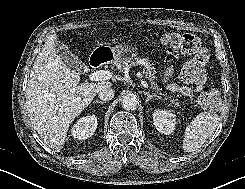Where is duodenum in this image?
<instances>
[{
  "mask_svg": "<svg viewBox=\"0 0 245 189\" xmlns=\"http://www.w3.org/2000/svg\"><path fill=\"white\" fill-rule=\"evenodd\" d=\"M112 59V53L109 50H100L93 53L90 57V64L93 67H99Z\"/></svg>",
  "mask_w": 245,
  "mask_h": 189,
  "instance_id": "410a0bca",
  "label": "duodenum"
}]
</instances>
